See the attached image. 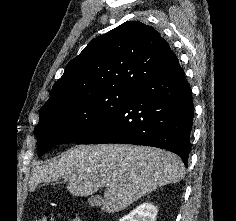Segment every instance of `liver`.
<instances>
[{
	"mask_svg": "<svg viewBox=\"0 0 236 221\" xmlns=\"http://www.w3.org/2000/svg\"><path fill=\"white\" fill-rule=\"evenodd\" d=\"M183 162L173 153L154 147L126 144L75 146L57 158L36 166L30 190L40 183L68 181L74 196H90L105 188L101 210L115 213L158 187L180 182Z\"/></svg>",
	"mask_w": 236,
	"mask_h": 221,
	"instance_id": "1",
	"label": "liver"
}]
</instances>
